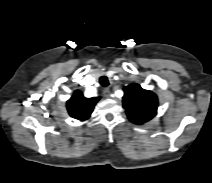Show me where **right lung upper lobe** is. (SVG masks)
<instances>
[{"label":"right lung upper lobe","instance_id":"obj_1","mask_svg":"<svg viewBox=\"0 0 212 183\" xmlns=\"http://www.w3.org/2000/svg\"><path fill=\"white\" fill-rule=\"evenodd\" d=\"M99 97L85 98L79 90L67 101V109L71 117L78 120H86L90 117Z\"/></svg>","mask_w":212,"mask_h":183}]
</instances>
